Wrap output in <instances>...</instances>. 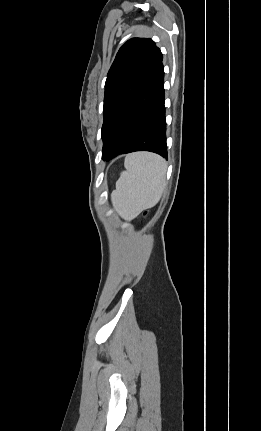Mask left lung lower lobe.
Wrapping results in <instances>:
<instances>
[{"label":"left lung lower lobe","mask_w":261,"mask_h":431,"mask_svg":"<svg viewBox=\"0 0 261 431\" xmlns=\"http://www.w3.org/2000/svg\"><path fill=\"white\" fill-rule=\"evenodd\" d=\"M135 151H151L167 158L162 62L129 104L106 160Z\"/></svg>","instance_id":"left-lung-lower-lobe-1"}]
</instances>
